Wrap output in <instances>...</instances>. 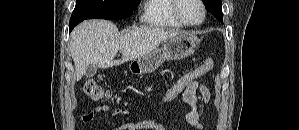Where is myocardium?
Listing matches in <instances>:
<instances>
[{
    "mask_svg": "<svg viewBox=\"0 0 299 130\" xmlns=\"http://www.w3.org/2000/svg\"><path fill=\"white\" fill-rule=\"evenodd\" d=\"M182 0H173V12L174 15L176 17V19L184 26L186 27H199L200 25H202L205 21L206 18V6L204 4L203 0H197V2L199 3L201 9H202V17L200 19L199 22L197 23H190L188 22L181 14L180 12V4H181Z\"/></svg>",
    "mask_w": 299,
    "mask_h": 130,
    "instance_id": "myocardium-1",
    "label": "myocardium"
}]
</instances>
